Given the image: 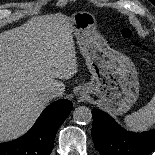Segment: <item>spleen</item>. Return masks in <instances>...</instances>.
Wrapping results in <instances>:
<instances>
[{
	"label": "spleen",
	"instance_id": "3e777b00",
	"mask_svg": "<svg viewBox=\"0 0 155 155\" xmlns=\"http://www.w3.org/2000/svg\"><path fill=\"white\" fill-rule=\"evenodd\" d=\"M125 126L132 131H144L155 124V94L150 102L124 118Z\"/></svg>",
	"mask_w": 155,
	"mask_h": 155
}]
</instances>
